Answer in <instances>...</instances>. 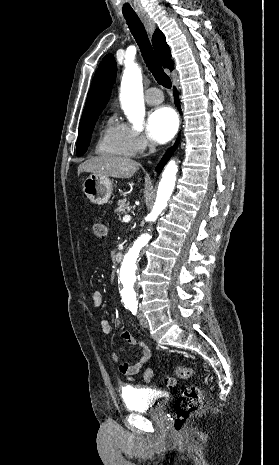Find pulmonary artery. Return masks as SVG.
Returning a JSON list of instances; mask_svg holds the SVG:
<instances>
[{"label":"pulmonary artery","instance_id":"e3ab8cb5","mask_svg":"<svg viewBox=\"0 0 279 465\" xmlns=\"http://www.w3.org/2000/svg\"><path fill=\"white\" fill-rule=\"evenodd\" d=\"M145 99L151 105L159 104L163 101V95L158 88H150L146 91Z\"/></svg>","mask_w":279,"mask_h":465}]
</instances>
